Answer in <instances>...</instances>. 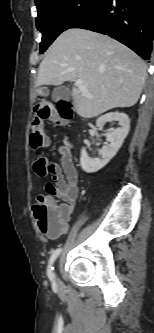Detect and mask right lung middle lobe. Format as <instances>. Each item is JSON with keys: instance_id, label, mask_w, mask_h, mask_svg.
I'll return each mask as SVG.
<instances>
[{"instance_id": "obj_1", "label": "right lung middle lobe", "mask_w": 154, "mask_h": 333, "mask_svg": "<svg viewBox=\"0 0 154 333\" xmlns=\"http://www.w3.org/2000/svg\"><path fill=\"white\" fill-rule=\"evenodd\" d=\"M101 0H39L36 26L42 33L40 53L63 31L90 14Z\"/></svg>"}]
</instances>
